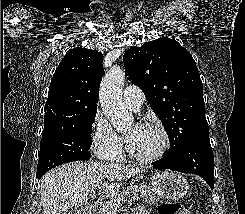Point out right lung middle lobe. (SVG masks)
Wrapping results in <instances>:
<instances>
[{
    "mask_svg": "<svg viewBox=\"0 0 245 214\" xmlns=\"http://www.w3.org/2000/svg\"><path fill=\"white\" fill-rule=\"evenodd\" d=\"M96 112L92 110L74 126L42 135L36 175L45 174L64 163L90 159V133Z\"/></svg>",
    "mask_w": 245,
    "mask_h": 214,
    "instance_id": "obj_1",
    "label": "right lung middle lobe"
}]
</instances>
